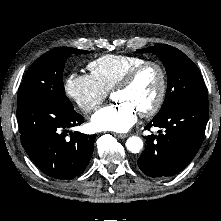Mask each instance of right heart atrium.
<instances>
[{"label":"right heart atrium","mask_w":221,"mask_h":221,"mask_svg":"<svg viewBox=\"0 0 221 221\" xmlns=\"http://www.w3.org/2000/svg\"><path fill=\"white\" fill-rule=\"evenodd\" d=\"M64 89L66 95L84 113L96 110L108 95L91 74L71 73L65 81Z\"/></svg>","instance_id":"1"}]
</instances>
